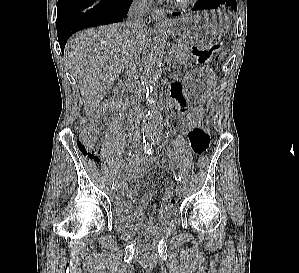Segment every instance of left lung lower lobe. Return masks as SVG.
<instances>
[{
  "instance_id": "obj_1",
  "label": "left lung lower lobe",
  "mask_w": 299,
  "mask_h": 273,
  "mask_svg": "<svg viewBox=\"0 0 299 273\" xmlns=\"http://www.w3.org/2000/svg\"><path fill=\"white\" fill-rule=\"evenodd\" d=\"M228 6L237 10L236 0H198L192 11L202 9H214L218 7ZM174 16L180 15V12L173 13Z\"/></svg>"
}]
</instances>
